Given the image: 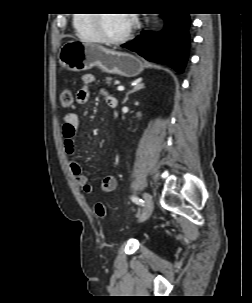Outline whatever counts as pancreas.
Masks as SVG:
<instances>
[{"instance_id":"obj_1","label":"pancreas","mask_w":252,"mask_h":303,"mask_svg":"<svg viewBox=\"0 0 252 303\" xmlns=\"http://www.w3.org/2000/svg\"><path fill=\"white\" fill-rule=\"evenodd\" d=\"M111 82H112V78H111V77H107V78H106V83H107V84H111Z\"/></svg>"}]
</instances>
